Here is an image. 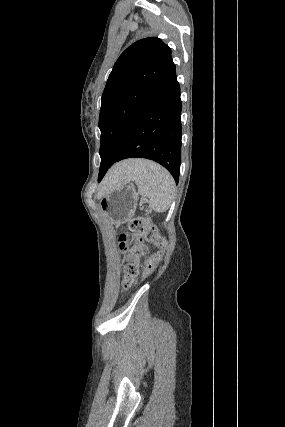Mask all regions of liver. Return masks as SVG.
Returning a JSON list of instances; mask_svg holds the SVG:
<instances>
[{
  "label": "liver",
  "instance_id": "liver-1",
  "mask_svg": "<svg viewBox=\"0 0 285 427\" xmlns=\"http://www.w3.org/2000/svg\"><path fill=\"white\" fill-rule=\"evenodd\" d=\"M141 160H127L113 166L101 183V194L115 186L127 184Z\"/></svg>",
  "mask_w": 285,
  "mask_h": 427
}]
</instances>
